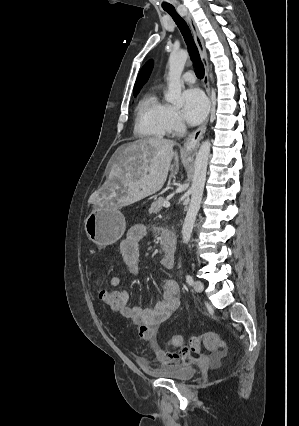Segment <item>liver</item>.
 <instances>
[{"label": "liver", "instance_id": "liver-1", "mask_svg": "<svg viewBox=\"0 0 299 426\" xmlns=\"http://www.w3.org/2000/svg\"><path fill=\"white\" fill-rule=\"evenodd\" d=\"M174 145L171 140L152 137L120 146L106 187L111 192L107 199L115 198L119 204L129 205L158 192L166 182L173 158L178 168ZM174 174L176 171L172 177ZM119 189L120 195L116 193Z\"/></svg>", "mask_w": 299, "mask_h": 426}]
</instances>
